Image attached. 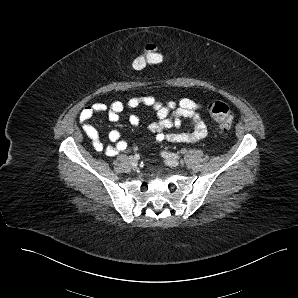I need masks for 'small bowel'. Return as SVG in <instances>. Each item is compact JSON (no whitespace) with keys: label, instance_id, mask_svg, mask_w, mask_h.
<instances>
[{"label":"small bowel","instance_id":"obj_1","mask_svg":"<svg viewBox=\"0 0 298 298\" xmlns=\"http://www.w3.org/2000/svg\"><path fill=\"white\" fill-rule=\"evenodd\" d=\"M141 105L151 107L156 112L157 120L148 127V131L154 135L156 142L193 143L204 139L208 134L206 124L198 112L202 108V105L198 102L189 98L162 101L149 95L132 97L125 103L114 101L110 105H106L99 102L85 106L81 110L79 120L84 133L91 140L94 149L99 153L113 157L128 148V143L122 139L120 132L117 130H111L108 133L111 144L103 143L98 130L91 123L94 115L105 112L110 121L116 122L126 108L134 109ZM183 118H188L191 121L192 129L190 131H168L171 129L178 130L182 125ZM128 121L134 127L140 123L139 117L135 114H130Z\"/></svg>","mask_w":298,"mask_h":298}]
</instances>
